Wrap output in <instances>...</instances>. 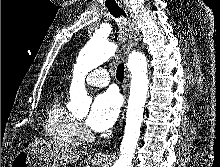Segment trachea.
<instances>
[{
	"label": "trachea",
	"instance_id": "1",
	"mask_svg": "<svg viewBox=\"0 0 220 167\" xmlns=\"http://www.w3.org/2000/svg\"><path fill=\"white\" fill-rule=\"evenodd\" d=\"M108 10L110 11V13L116 17V18H119L120 16H124L125 17V14L124 12L122 11V9L117 6V5H113V6H108ZM116 76H117V79L120 81V82H123V79H124V64L121 63L117 66V73H116Z\"/></svg>",
	"mask_w": 220,
	"mask_h": 167
}]
</instances>
